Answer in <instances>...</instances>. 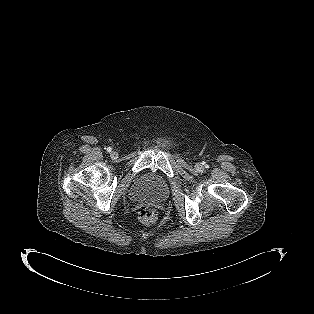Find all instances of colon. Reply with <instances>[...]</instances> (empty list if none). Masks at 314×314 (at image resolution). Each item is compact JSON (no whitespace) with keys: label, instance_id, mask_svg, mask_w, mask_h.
<instances>
[{"label":"colon","instance_id":"5ec220e1","mask_svg":"<svg viewBox=\"0 0 314 314\" xmlns=\"http://www.w3.org/2000/svg\"><path fill=\"white\" fill-rule=\"evenodd\" d=\"M158 216V210L152 207H144L138 211L139 220L145 224L154 223L158 219Z\"/></svg>","mask_w":314,"mask_h":314}]
</instances>
